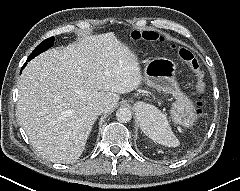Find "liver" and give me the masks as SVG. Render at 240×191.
I'll list each match as a JSON object with an SVG mask.
<instances>
[{
  "instance_id": "6515ba94",
  "label": "liver",
  "mask_w": 240,
  "mask_h": 191,
  "mask_svg": "<svg viewBox=\"0 0 240 191\" xmlns=\"http://www.w3.org/2000/svg\"><path fill=\"white\" fill-rule=\"evenodd\" d=\"M142 81L136 56L113 32L90 35L31 60L19 81L17 117L33 147L56 163L76 161L98 115Z\"/></svg>"
}]
</instances>
